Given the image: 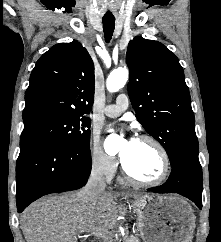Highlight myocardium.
<instances>
[{"label":"myocardium","instance_id":"1","mask_svg":"<svg viewBox=\"0 0 221 242\" xmlns=\"http://www.w3.org/2000/svg\"><path fill=\"white\" fill-rule=\"evenodd\" d=\"M138 140L150 142L157 149V151L160 155L161 161H162L161 173L156 179H153V180L139 179L129 172L127 166L125 165L123 158L121 157V166H122V170L125 175V178L128 181L135 183L137 185H141V186H145V187L157 186L166 180V178L168 177L169 172H170V158H169L168 152H167L166 148L162 145V143L153 136L141 135L138 138Z\"/></svg>","mask_w":221,"mask_h":242}]
</instances>
